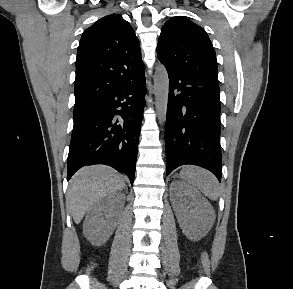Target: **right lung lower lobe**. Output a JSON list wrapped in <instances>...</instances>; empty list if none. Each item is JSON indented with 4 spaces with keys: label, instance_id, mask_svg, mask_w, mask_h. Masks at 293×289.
Masks as SVG:
<instances>
[{
    "label": "right lung lower lobe",
    "instance_id": "1",
    "mask_svg": "<svg viewBox=\"0 0 293 289\" xmlns=\"http://www.w3.org/2000/svg\"><path fill=\"white\" fill-rule=\"evenodd\" d=\"M145 76L74 108L67 179L81 167L105 164L126 173L133 184L145 106Z\"/></svg>",
    "mask_w": 293,
    "mask_h": 289
}]
</instances>
